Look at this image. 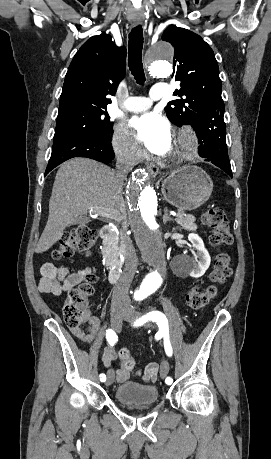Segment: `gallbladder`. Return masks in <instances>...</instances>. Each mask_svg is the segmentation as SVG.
Instances as JSON below:
<instances>
[{"label": "gallbladder", "mask_w": 271, "mask_h": 459, "mask_svg": "<svg viewBox=\"0 0 271 459\" xmlns=\"http://www.w3.org/2000/svg\"><path fill=\"white\" fill-rule=\"evenodd\" d=\"M88 220H85V218H83V220H80V218H78V220H74L73 222V226H75V224H87Z\"/></svg>", "instance_id": "obj_1"}]
</instances>
